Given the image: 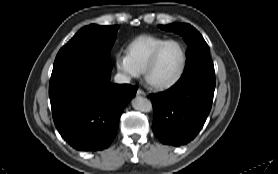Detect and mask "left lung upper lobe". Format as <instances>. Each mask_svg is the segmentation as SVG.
Returning a JSON list of instances; mask_svg holds the SVG:
<instances>
[{"mask_svg": "<svg viewBox=\"0 0 278 174\" xmlns=\"http://www.w3.org/2000/svg\"><path fill=\"white\" fill-rule=\"evenodd\" d=\"M159 27L163 30L180 34L188 45L187 66L180 79L198 74H207L215 77L214 65L209 54V46L194 27L187 23H172L166 26L159 25Z\"/></svg>", "mask_w": 278, "mask_h": 174, "instance_id": "5c2ea615", "label": "left lung upper lobe"}]
</instances>
